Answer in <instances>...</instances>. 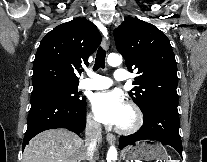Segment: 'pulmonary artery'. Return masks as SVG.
I'll return each mask as SVG.
<instances>
[{
  "label": "pulmonary artery",
  "instance_id": "obj_1",
  "mask_svg": "<svg viewBox=\"0 0 207 162\" xmlns=\"http://www.w3.org/2000/svg\"><path fill=\"white\" fill-rule=\"evenodd\" d=\"M127 77V72L123 69H118L114 72V78L119 82L125 81ZM111 85L112 81L110 80V78L90 72L89 78L84 79L79 83V88L89 90H101L109 88Z\"/></svg>",
  "mask_w": 207,
  "mask_h": 162
}]
</instances>
